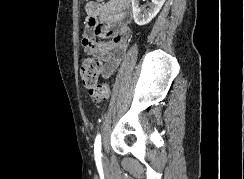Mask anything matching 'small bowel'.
Masks as SVG:
<instances>
[{"label":"small bowel","instance_id":"small-bowel-1","mask_svg":"<svg viewBox=\"0 0 244 179\" xmlns=\"http://www.w3.org/2000/svg\"><path fill=\"white\" fill-rule=\"evenodd\" d=\"M85 13L84 52L103 62L102 76L109 78L126 55L131 34L130 5L124 0L89 2Z\"/></svg>","mask_w":244,"mask_h":179}]
</instances>
